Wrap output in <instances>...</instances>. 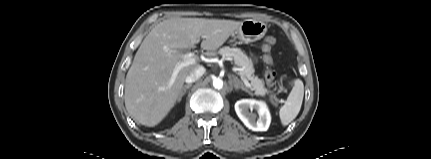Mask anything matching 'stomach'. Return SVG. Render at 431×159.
<instances>
[{
	"label": "stomach",
	"instance_id": "stomach-1",
	"mask_svg": "<svg viewBox=\"0 0 431 159\" xmlns=\"http://www.w3.org/2000/svg\"><path fill=\"white\" fill-rule=\"evenodd\" d=\"M267 32V24L260 20L246 19L233 32V40L250 43L261 39Z\"/></svg>",
	"mask_w": 431,
	"mask_h": 159
}]
</instances>
